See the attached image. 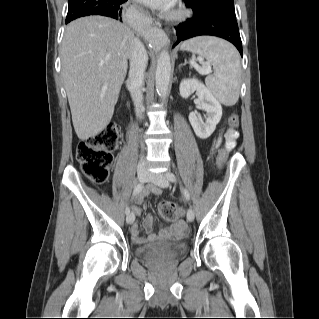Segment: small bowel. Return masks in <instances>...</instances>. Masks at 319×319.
Returning <instances> with one entry per match:
<instances>
[{
    "mask_svg": "<svg viewBox=\"0 0 319 319\" xmlns=\"http://www.w3.org/2000/svg\"><path fill=\"white\" fill-rule=\"evenodd\" d=\"M239 133L237 131H232V130H228L226 132V138H227V146L228 148L233 147L234 143H235V139L238 138ZM231 136H234V139L231 138ZM220 144V138H218L215 142V146L218 147ZM153 193L155 194H160V190L157 188H152ZM144 200V195L141 194L137 197V202L141 203ZM133 214L135 215H140L141 213V209L138 207H133L132 208ZM144 228L146 229V231L149 234L153 233L154 230V223H153V219L151 217H147L144 221ZM173 231L176 233H183L186 231V223L183 220H178L172 227ZM131 232H132V236L133 239L136 243H142L144 241L143 238L139 237V229H138V224L135 222L132 225L131 228Z\"/></svg>",
    "mask_w": 319,
    "mask_h": 319,
    "instance_id": "1",
    "label": "small bowel"
}]
</instances>
